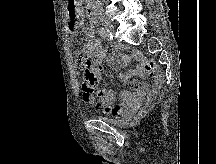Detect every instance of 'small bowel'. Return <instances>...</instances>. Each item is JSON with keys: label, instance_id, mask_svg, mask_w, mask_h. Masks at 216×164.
I'll list each match as a JSON object with an SVG mask.
<instances>
[{"label": "small bowel", "instance_id": "small-bowel-1", "mask_svg": "<svg viewBox=\"0 0 216 164\" xmlns=\"http://www.w3.org/2000/svg\"><path fill=\"white\" fill-rule=\"evenodd\" d=\"M84 44L82 52L78 58H83L92 64L97 70L101 68V62L104 59L106 52L100 42L94 35L93 30L89 27L84 29ZM77 58V60H78ZM139 64L133 70L125 71L120 74L122 81L129 82L135 88L133 93L123 91L121 104L115 103V93L113 90L105 87H94L88 89L82 86L83 100L90 104L94 109L102 111L104 114L111 116L116 120L126 118L135 110L139 101L147 94V85H142L135 77H143L145 68L137 57ZM127 61V57L123 54H115L112 60L114 65L122 64Z\"/></svg>", "mask_w": 216, "mask_h": 164}]
</instances>
